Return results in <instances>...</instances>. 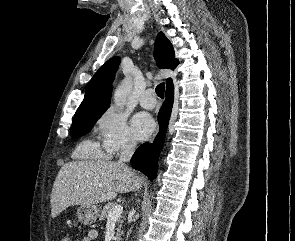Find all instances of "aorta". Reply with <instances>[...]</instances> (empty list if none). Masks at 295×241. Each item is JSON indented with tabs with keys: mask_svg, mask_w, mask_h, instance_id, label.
I'll return each mask as SVG.
<instances>
[{
	"mask_svg": "<svg viewBox=\"0 0 295 241\" xmlns=\"http://www.w3.org/2000/svg\"><path fill=\"white\" fill-rule=\"evenodd\" d=\"M132 90V79L126 77L116 88L114 93V104L118 108H123L126 104L128 95Z\"/></svg>",
	"mask_w": 295,
	"mask_h": 241,
	"instance_id": "obj_1",
	"label": "aorta"
}]
</instances>
